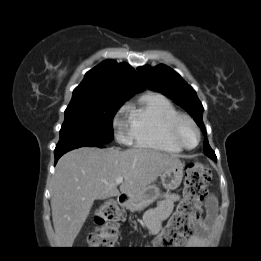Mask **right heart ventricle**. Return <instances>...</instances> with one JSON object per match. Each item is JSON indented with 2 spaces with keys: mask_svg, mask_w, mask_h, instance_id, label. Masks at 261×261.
<instances>
[{
  "mask_svg": "<svg viewBox=\"0 0 261 261\" xmlns=\"http://www.w3.org/2000/svg\"><path fill=\"white\" fill-rule=\"evenodd\" d=\"M128 139L136 147L178 154L171 125L180 116L172 102L159 93H145L126 107Z\"/></svg>",
  "mask_w": 261,
  "mask_h": 261,
  "instance_id": "obj_1",
  "label": "right heart ventricle"
}]
</instances>
